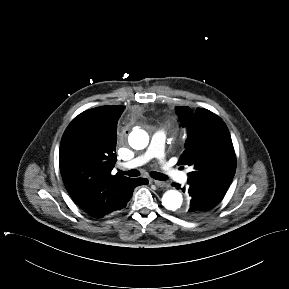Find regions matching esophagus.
<instances>
[{"instance_id": "1", "label": "esophagus", "mask_w": 289, "mask_h": 289, "mask_svg": "<svg viewBox=\"0 0 289 289\" xmlns=\"http://www.w3.org/2000/svg\"><path fill=\"white\" fill-rule=\"evenodd\" d=\"M153 183L158 186V187H165L167 186V183L164 181H159V180H153Z\"/></svg>"}]
</instances>
